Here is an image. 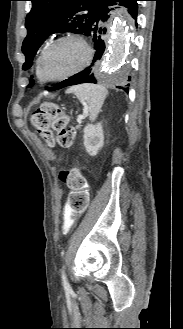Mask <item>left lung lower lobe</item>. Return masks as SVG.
<instances>
[{"mask_svg":"<svg viewBox=\"0 0 183 329\" xmlns=\"http://www.w3.org/2000/svg\"><path fill=\"white\" fill-rule=\"evenodd\" d=\"M137 1L140 0H107L97 11L92 26L87 33V36H89L93 42H94V49H95V55L93 58V61L89 67H87L85 70L71 76L70 78L60 82L57 86L50 88V90H57L63 87L71 86V85H77L81 83H96V79L94 75L91 73L92 67L95 63L101 60L105 49H106V43H105V37L104 34L106 33V28L104 27V22L107 20L108 13L111 10H114L111 6L115 5L116 2H119V5L124 6L128 8V12L131 14V16L136 20L137 19V13H138V5ZM130 78V77H129ZM129 84L125 86H117V88L124 90L128 93Z\"/></svg>","mask_w":183,"mask_h":329,"instance_id":"1","label":"left lung lower lobe"}]
</instances>
